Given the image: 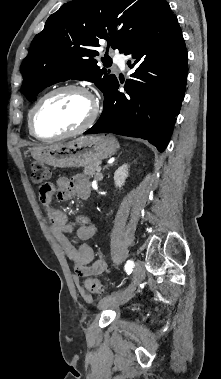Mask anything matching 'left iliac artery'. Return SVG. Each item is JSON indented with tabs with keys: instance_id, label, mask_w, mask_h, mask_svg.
<instances>
[{
	"instance_id": "44dca946",
	"label": "left iliac artery",
	"mask_w": 221,
	"mask_h": 379,
	"mask_svg": "<svg viewBox=\"0 0 221 379\" xmlns=\"http://www.w3.org/2000/svg\"><path fill=\"white\" fill-rule=\"evenodd\" d=\"M134 262L132 260H128L125 264V271L127 274H130L132 272Z\"/></svg>"
}]
</instances>
